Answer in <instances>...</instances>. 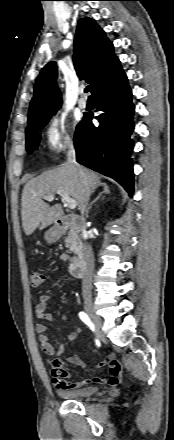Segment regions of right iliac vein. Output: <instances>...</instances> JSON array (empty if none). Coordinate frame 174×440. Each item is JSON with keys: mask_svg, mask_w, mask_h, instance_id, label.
Returning a JSON list of instances; mask_svg holds the SVG:
<instances>
[{"mask_svg": "<svg viewBox=\"0 0 174 440\" xmlns=\"http://www.w3.org/2000/svg\"><path fill=\"white\" fill-rule=\"evenodd\" d=\"M85 310L93 321V324H94L96 331H97V337L100 340H103L104 337H103V333H102V320H101L100 316L95 313L93 307L90 304H87L85 306Z\"/></svg>", "mask_w": 174, "mask_h": 440, "instance_id": "right-iliac-vein-1", "label": "right iliac vein"}]
</instances>
